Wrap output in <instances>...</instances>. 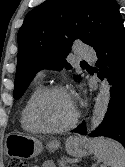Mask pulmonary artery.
Returning a JSON list of instances; mask_svg holds the SVG:
<instances>
[{"instance_id":"e3ab8cb5","label":"pulmonary artery","mask_w":125,"mask_h":167,"mask_svg":"<svg viewBox=\"0 0 125 167\" xmlns=\"http://www.w3.org/2000/svg\"><path fill=\"white\" fill-rule=\"evenodd\" d=\"M78 55L79 57L83 58V59H95L96 56L94 54V52L87 48V47H83L82 45L80 46V48H78ZM46 74V70H40L36 77L37 79H43L45 77Z\"/></svg>"}]
</instances>
